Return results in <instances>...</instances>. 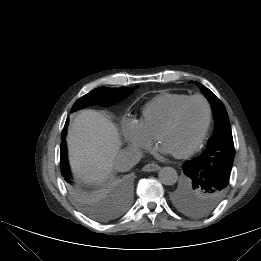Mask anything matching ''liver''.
<instances>
[{
  "mask_svg": "<svg viewBox=\"0 0 261 261\" xmlns=\"http://www.w3.org/2000/svg\"><path fill=\"white\" fill-rule=\"evenodd\" d=\"M70 164L86 183H100L113 172L121 147L117 128L96 110H83L73 120L67 136Z\"/></svg>",
  "mask_w": 261,
  "mask_h": 261,
  "instance_id": "6515ba94",
  "label": "liver"
}]
</instances>
